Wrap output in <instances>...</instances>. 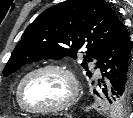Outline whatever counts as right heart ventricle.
Masks as SVG:
<instances>
[{"label":"right heart ventricle","mask_w":133,"mask_h":118,"mask_svg":"<svg viewBox=\"0 0 133 118\" xmlns=\"http://www.w3.org/2000/svg\"><path fill=\"white\" fill-rule=\"evenodd\" d=\"M16 99H17V97H16ZM17 103H18V101H17ZM18 108H19L20 111H24V110L22 109V107L19 105V103H18Z\"/></svg>","instance_id":"right-heart-ventricle-1"}]
</instances>
